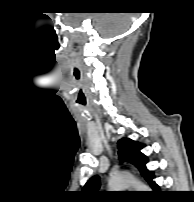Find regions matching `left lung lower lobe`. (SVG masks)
Returning a JSON list of instances; mask_svg holds the SVG:
<instances>
[{"mask_svg": "<svg viewBox=\"0 0 194 202\" xmlns=\"http://www.w3.org/2000/svg\"><path fill=\"white\" fill-rule=\"evenodd\" d=\"M151 187L154 189V191H159L158 186L154 182H150Z\"/></svg>", "mask_w": 194, "mask_h": 202, "instance_id": "0a47b994", "label": "left lung lower lobe"}]
</instances>
